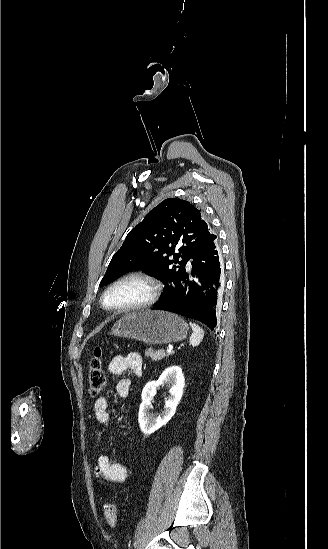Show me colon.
Here are the masks:
<instances>
[{
	"instance_id": "colon-1",
	"label": "colon",
	"mask_w": 328,
	"mask_h": 549,
	"mask_svg": "<svg viewBox=\"0 0 328 549\" xmlns=\"http://www.w3.org/2000/svg\"><path fill=\"white\" fill-rule=\"evenodd\" d=\"M103 349L97 347L90 361L89 367V393L91 396H97L106 385L105 372L103 370L102 358ZM104 516L110 527H115L117 523V506L114 502H108L104 506Z\"/></svg>"
}]
</instances>
